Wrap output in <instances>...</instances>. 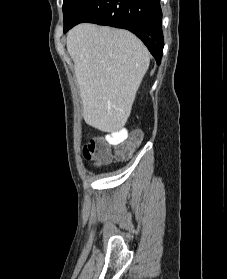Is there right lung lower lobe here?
<instances>
[{
  "label": "right lung lower lobe",
  "mask_w": 227,
  "mask_h": 279,
  "mask_svg": "<svg viewBox=\"0 0 227 279\" xmlns=\"http://www.w3.org/2000/svg\"><path fill=\"white\" fill-rule=\"evenodd\" d=\"M82 22L133 32L160 64L164 47L160 0H84L70 28Z\"/></svg>",
  "instance_id": "right-lung-lower-lobe-1"
}]
</instances>
